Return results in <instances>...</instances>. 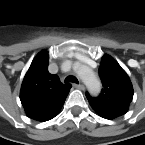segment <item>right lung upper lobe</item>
<instances>
[{
    "mask_svg": "<svg viewBox=\"0 0 145 145\" xmlns=\"http://www.w3.org/2000/svg\"><path fill=\"white\" fill-rule=\"evenodd\" d=\"M48 52L41 51L27 71L20 100L28 117L38 121H47L57 115L63 106L71 88L62 84L57 75L48 72Z\"/></svg>",
    "mask_w": 145,
    "mask_h": 145,
    "instance_id": "obj_1",
    "label": "right lung upper lobe"
}]
</instances>
